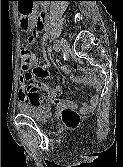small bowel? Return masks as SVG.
Wrapping results in <instances>:
<instances>
[{"label": "small bowel", "mask_w": 123, "mask_h": 167, "mask_svg": "<svg viewBox=\"0 0 123 167\" xmlns=\"http://www.w3.org/2000/svg\"><path fill=\"white\" fill-rule=\"evenodd\" d=\"M32 4L33 1H17V5H19V14H24L21 15V19L23 20H20V24H22V27L26 29L31 28L33 25L31 13L34 5ZM41 33L42 29L33 31V33L28 36L27 43L33 44L35 42V38ZM49 66V58L47 55H44L41 65H38L30 73L20 74V82L22 87L20 88L18 95L21 101L29 104H37L45 102L49 99L51 103L59 107L69 109L78 108L81 112H90L96 107L98 103V95L96 94L93 95L89 101H82L77 106L74 102L61 98V90L59 87L50 89L48 85L41 80L43 77L48 76ZM60 70L63 74H69V70L63 65H60ZM70 80L74 83L88 85L94 88L96 91L101 89L100 82L92 73L89 72H86L82 78L71 75ZM25 84H28V86Z\"/></svg>", "instance_id": "1"}]
</instances>
